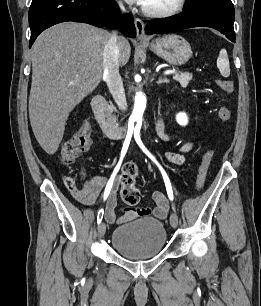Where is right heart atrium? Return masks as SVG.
<instances>
[{
  "mask_svg": "<svg viewBox=\"0 0 261 306\" xmlns=\"http://www.w3.org/2000/svg\"><path fill=\"white\" fill-rule=\"evenodd\" d=\"M118 5H119L120 7H122V4H121L120 2L118 3Z\"/></svg>",
  "mask_w": 261,
  "mask_h": 306,
  "instance_id": "1",
  "label": "right heart atrium"
}]
</instances>
